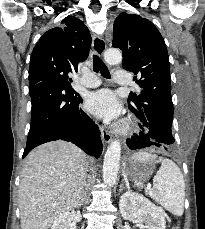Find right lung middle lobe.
I'll return each mask as SVG.
<instances>
[{"label":"right lung middle lobe","mask_w":205,"mask_h":229,"mask_svg":"<svg viewBox=\"0 0 205 229\" xmlns=\"http://www.w3.org/2000/svg\"><path fill=\"white\" fill-rule=\"evenodd\" d=\"M53 80H56L59 83H63L67 86H71L70 82H72V79L67 76H55Z\"/></svg>","instance_id":"1"}]
</instances>
